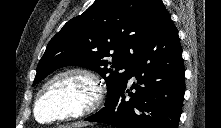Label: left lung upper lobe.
<instances>
[{"label": "left lung upper lobe", "mask_w": 221, "mask_h": 128, "mask_svg": "<svg viewBox=\"0 0 221 128\" xmlns=\"http://www.w3.org/2000/svg\"><path fill=\"white\" fill-rule=\"evenodd\" d=\"M168 15L161 0H95L48 43L33 85L63 66L85 67L105 79L107 105L126 84L140 47Z\"/></svg>", "instance_id": "left-lung-upper-lobe-1"}]
</instances>
